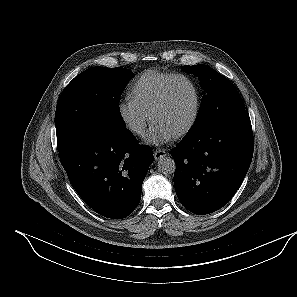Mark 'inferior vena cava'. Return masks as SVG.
Masks as SVG:
<instances>
[{"label":"inferior vena cava","mask_w":297,"mask_h":297,"mask_svg":"<svg viewBox=\"0 0 297 297\" xmlns=\"http://www.w3.org/2000/svg\"><path fill=\"white\" fill-rule=\"evenodd\" d=\"M142 129H143V125H141V124H138V125H135V126H134V130H135V131H138V132H139V131H141Z\"/></svg>","instance_id":"1"}]
</instances>
